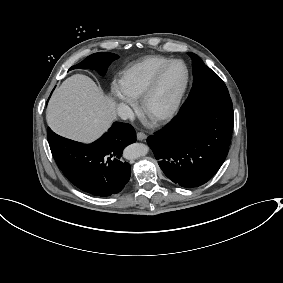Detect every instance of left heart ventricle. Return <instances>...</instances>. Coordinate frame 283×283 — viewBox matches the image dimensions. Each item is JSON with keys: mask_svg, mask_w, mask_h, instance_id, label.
Listing matches in <instances>:
<instances>
[{"mask_svg": "<svg viewBox=\"0 0 283 283\" xmlns=\"http://www.w3.org/2000/svg\"><path fill=\"white\" fill-rule=\"evenodd\" d=\"M185 81V69L182 64H174L160 78L154 96L150 100L149 116L165 112L173 103Z\"/></svg>", "mask_w": 283, "mask_h": 283, "instance_id": "b2bd125f", "label": "left heart ventricle"}]
</instances>
